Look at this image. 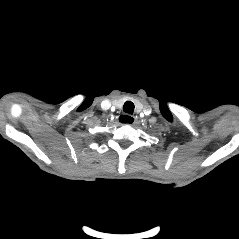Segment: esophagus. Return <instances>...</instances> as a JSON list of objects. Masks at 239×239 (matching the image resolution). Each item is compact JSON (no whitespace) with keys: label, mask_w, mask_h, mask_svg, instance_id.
I'll list each match as a JSON object with an SVG mask.
<instances>
[{"label":"esophagus","mask_w":239,"mask_h":239,"mask_svg":"<svg viewBox=\"0 0 239 239\" xmlns=\"http://www.w3.org/2000/svg\"><path fill=\"white\" fill-rule=\"evenodd\" d=\"M119 121L122 122V123H132V124H135V122L137 121V117L130 116V115H121L119 117Z\"/></svg>","instance_id":"34e87169"}]
</instances>
